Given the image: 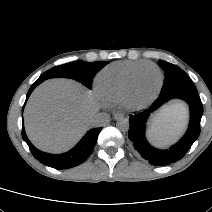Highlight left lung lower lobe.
<instances>
[{
    "label": "left lung lower lobe",
    "mask_w": 212,
    "mask_h": 212,
    "mask_svg": "<svg viewBox=\"0 0 212 212\" xmlns=\"http://www.w3.org/2000/svg\"><path fill=\"white\" fill-rule=\"evenodd\" d=\"M182 99L190 108V123L185 135L175 145L167 150L152 147L145 138L146 122L151 113L171 99ZM203 114V106L198 93L179 91L166 95H159L158 99L140 113L129 118L130 127L128 137L136 151L154 166H164L180 160L190 149L200 134V121Z\"/></svg>",
    "instance_id": "left-lung-lower-lobe-1"
}]
</instances>
